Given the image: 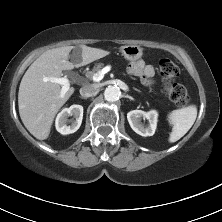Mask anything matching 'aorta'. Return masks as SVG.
Returning <instances> with one entry per match:
<instances>
[{"instance_id": "1", "label": "aorta", "mask_w": 222, "mask_h": 222, "mask_svg": "<svg viewBox=\"0 0 222 222\" xmlns=\"http://www.w3.org/2000/svg\"><path fill=\"white\" fill-rule=\"evenodd\" d=\"M121 91L116 86H108L104 91V98L108 102H114L119 99Z\"/></svg>"}]
</instances>
